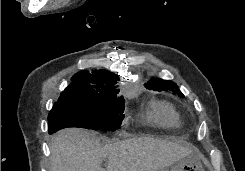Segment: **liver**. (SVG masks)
I'll list each match as a JSON object with an SVG mask.
<instances>
[{"mask_svg": "<svg viewBox=\"0 0 245 171\" xmlns=\"http://www.w3.org/2000/svg\"><path fill=\"white\" fill-rule=\"evenodd\" d=\"M50 171H160L193 155L192 147L166 140L140 137L101 146L93 132L68 128L60 131L50 146Z\"/></svg>", "mask_w": 245, "mask_h": 171, "instance_id": "1", "label": "liver"}]
</instances>
